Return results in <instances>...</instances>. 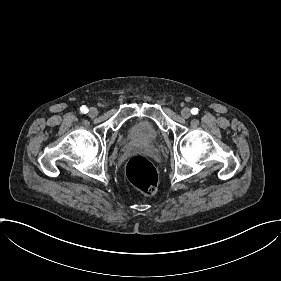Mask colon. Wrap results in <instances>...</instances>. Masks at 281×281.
Wrapping results in <instances>:
<instances>
[{
    "instance_id": "5ec220e1",
    "label": "colon",
    "mask_w": 281,
    "mask_h": 281,
    "mask_svg": "<svg viewBox=\"0 0 281 281\" xmlns=\"http://www.w3.org/2000/svg\"><path fill=\"white\" fill-rule=\"evenodd\" d=\"M126 176L137 189L152 192L158 185V176L153 165L143 156L134 155L126 164Z\"/></svg>"
}]
</instances>
